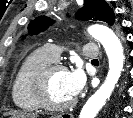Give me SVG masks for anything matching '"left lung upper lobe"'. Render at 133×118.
Wrapping results in <instances>:
<instances>
[{"mask_svg": "<svg viewBox=\"0 0 133 118\" xmlns=\"http://www.w3.org/2000/svg\"><path fill=\"white\" fill-rule=\"evenodd\" d=\"M77 17L84 21H104L111 26L115 22L113 10L103 0H84V7L78 12ZM51 24V19L46 16H40L30 22L28 29L33 34H37L45 30Z\"/></svg>", "mask_w": 133, "mask_h": 118, "instance_id": "obj_1", "label": "left lung upper lobe"}]
</instances>
